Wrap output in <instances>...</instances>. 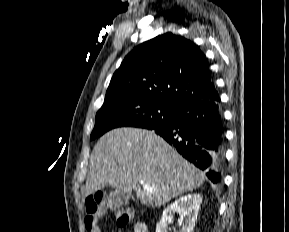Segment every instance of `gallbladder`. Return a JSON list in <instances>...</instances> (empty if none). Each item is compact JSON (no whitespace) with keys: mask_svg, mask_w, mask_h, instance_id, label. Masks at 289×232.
<instances>
[{"mask_svg":"<svg viewBox=\"0 0 289 232\" xmlns=\"http://www.w3.org/2000/svg\"><path fill=\"white\" fill-rule=\"evenodd\" d=\"M130 199H133V196L130 192L125 191H117L114 190L110 193V195L106 198L107 206L119 208L129 203Z\"/></svg>","mask_w":289,"mask_h":232,"instance_id":"gallbladder-1","label":"gallbladder"}]
</instances>
